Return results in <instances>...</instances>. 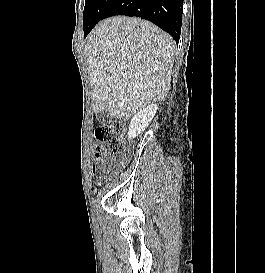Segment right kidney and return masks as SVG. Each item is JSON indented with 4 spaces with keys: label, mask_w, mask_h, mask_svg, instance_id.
<instances>
[{
    "label": "right kidney",
    "mask_w": 265,
    "mask_h": 273,
    "mask_svg": "<svg viewBox=\"0 0 265 273\" xmlns=\"http://www.w3.org/2000/svg\"><path fill=\"white\" fill-rule=\"evenodd\" d=\"M158 107L156 104H150L147 107L140 109L131 119L128 131V138L134 139L142 133L149 125L156 114Z\"/></svg>",
    "instance_id": "obj_1"
}]
</instances>
